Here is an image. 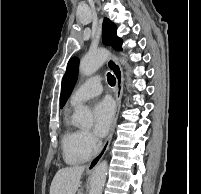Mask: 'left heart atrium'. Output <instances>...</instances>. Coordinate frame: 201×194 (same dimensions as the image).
Returning a JSON list of instances; mask_svg holds the SVG:
<instances>
[{
	"instance_id": "1",
	"label": "left heart atrium",
	"mask_w": 201,
	"mask_h": 194,
	"mask_svg": "<svg viewBox=\"0 0 201 194\" xmlns=\"http://www.w3.org/2000/svg\"><path fill=\"white\" fill-rule=\"evenodd\" d=\"M114 117V105L110 99L99 101L94 107V132L104 136L109 131Z\"/></svg>"
}]
</instances>
